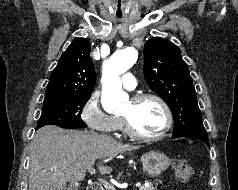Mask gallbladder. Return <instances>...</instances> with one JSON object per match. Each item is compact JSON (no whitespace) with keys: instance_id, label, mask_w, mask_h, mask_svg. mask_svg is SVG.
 I'll use <instances>...</instances> for the list:
<instances>
[{"instance_id":"gallbladder-1","label":"gallbladder","mask_w":238,"mask_h":190,"mask_svg":"<svg viewBox=\"0 0 238 190\" xmlns=\"http://www.w3.org/2000/svg\"><path fill=\"white\" fill-rule=\"evenodd\" d=\"M65 190H78V185L71 183L66 186Z\"/></svg>"}]
</instances>
